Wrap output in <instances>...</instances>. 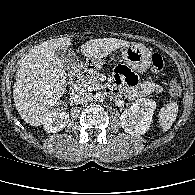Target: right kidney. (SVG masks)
<instances>
[{"mask_svg": "<svg viewBox=\"0 0 195 195\" xmlns=\"http://www.w3.org/2000/svg\"><path fill=\"white\" fill-rule=\"evenodd\" d=\"M68 114L60 109H54L50 118L44 123V128L48 133L59 132L65 128L69 119Z\"/></svg>", "mask_w": 195, "mask_h": 195, "instance_id": "ca27d5eb", "label": "right kidney"}]
</instances>
